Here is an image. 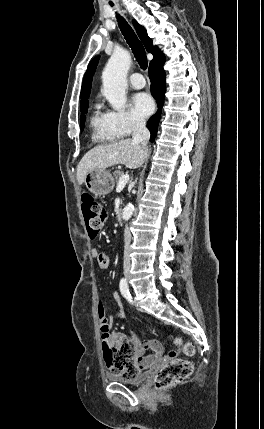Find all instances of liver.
<instances>
[{
	"label": "liver",
	"instance_id": "6515ba94",
	"mask_svg": "<svg viewBox=\"0 0 264 429\" xmlns=\"http://www.w3.org/2000/svg\"><path fill=\"white\" fill-rule=\"evenodd\" d=\"M147 158V148L131 139H122L110 144L99 145L88 151L77 166V180L81 185L89 171L106 169L116 164H124L127 168L140 167Z\"/></svg>",
	"mask_w": 264,
	"mask_h": 429
}]
</instances>
